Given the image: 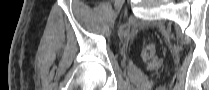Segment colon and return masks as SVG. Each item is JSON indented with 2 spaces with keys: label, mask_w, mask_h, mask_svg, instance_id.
I'll return each instance as SVG.
<instances>
[{
  "label": "colon",
  "mask_w": 209,
  "mask_h": 90,
  "mask_svg": "<svg viewBox=\"0 0 209 90\" xmlns=\"http://www.w3.org/2000/svg\"><path fill=\"white\" fill-rule=\"evenodd\" d=\"M141 58L148 64L150 70H158L162 61L157 56V49L154 44H146L141 49Z\"/></svg>",
  "instance_id": "obj_1"
}]
</instances>
